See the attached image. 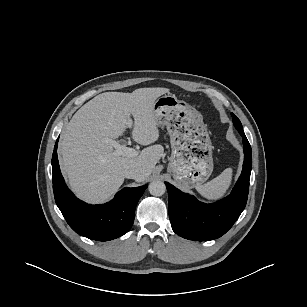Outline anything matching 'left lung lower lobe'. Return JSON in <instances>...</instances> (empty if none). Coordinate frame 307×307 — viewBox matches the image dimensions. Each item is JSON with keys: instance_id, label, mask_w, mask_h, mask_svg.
I'll return each instance as SVG.
<instances>
[{"instance_id": "obj_1", "label": "left lung lower lobe", "mask_w": 307, "mask_h": 307, "mask_svg": "<svg viewBox=\"0 0 307 307\" xmlns=\"http://www.w3.org/2000/svg\"><path fill=\"white\" fill-rule=\"evenodd\" d=\"M241 136L245 155L243 169L231 194L226 198L213 204L201 203L194 196L165 182L169 218L176 234L196 241L216 239L224 235L239 218L246 206L252 168L251 146L245 134Z\"/></svg>"}]
</instances>
